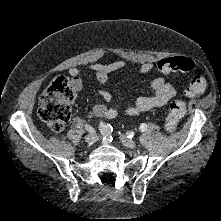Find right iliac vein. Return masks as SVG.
<instances>
[{"instance_id":"63e3f726","label":"right iliac vein","mask_w":221,"mask_h":221,"mask_svg":"<svg viewBox=\"0 0 221 221\" xmlns=\"http://www.w3.org/2000/svg\"><path fill=\"white\" fill-rule=\"evenodd\" d=\"M98 140V136L96 134H88L85 136V141L89 144H93Z\"/></svg>"}]
</instances>
